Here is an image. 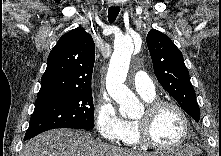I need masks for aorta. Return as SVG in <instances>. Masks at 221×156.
I'll return each instance as SVG.
<instances>
[{"instance_id": "aorta-1", "label": "aorta", "mask_w": 221, "mask_h": 156, "mask_svg": "<svg viewBox=\"0 0 221 156\" xmlns=\"http://www.w3.org/2000/svg\"><path fill=\"white\" fill-rule=\"evenodd\" d=\"M133 50L134 43L130 36L125 35L116 40L106 77L109 95L119 104L120 114L128 118L138 117L143 112L138 98L124 84Z\"/></svg>"}]
</instances>
